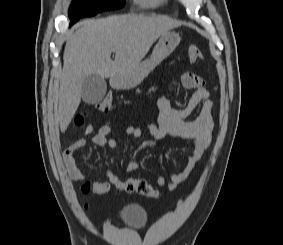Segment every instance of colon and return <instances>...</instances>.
<instances>
[{"label": "colon", "instance_id": "obj_1", "mask_svg": "<svg viewBox=\"0 0 283 245\" xmlns=\"http://www.w3.org/2000/svg\"><path fill=\"white\" fill-rule=\"evenodd\" d=\"M188 60L190 63H195L199 60L203 59V54L201 50L196 46L189 47L187 51ZM112 107V96L107 95L103 100L96 104V108L99 111L107 112ZM84 115L77 116L75 119V123L77 125H82L84 123ZM121 188L123 191L129 193H138L140 195L150 197V198H158L159 193L156 189H154L147 181L143 179L129 178L123 180L121 183ZM81 190L83 193H88L90 190V186L88 183L81 184Z\"/></svg>", "mask_w": 283, "mask_h": 245}]
</instances>
